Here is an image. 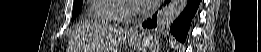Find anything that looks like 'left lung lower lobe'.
<instances>
[{
    "label": "left lung lower lobe",
    "mask_w": 261,
    "mask_h": 52,
    "mask_svg": "<svg viewBox=\"0 0 261 52\" xmlns=\"http://www.w3.org/2000/svg\"><path fill=\"white\" fill-rule=\"evenodd\" d=\"M169 1V0H168ZM167 0L165 1L168 2ZM201 0H189L186 8L182 12V14L179 16V18L173 22V24L170 27V32L173 34V36L179 40L180 42H185L188 30L190 28L191 20L194 17L195 13L197 12V9L199 7ZM156 14L153 16L152 20L145 21L142 26L144 28H153L156 27Z\"/></svg>",
    "instance_id": "obj_1"
}]
</instances>
